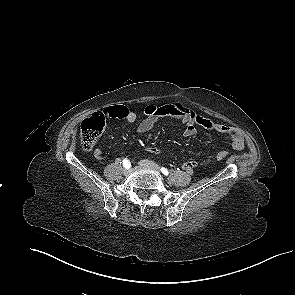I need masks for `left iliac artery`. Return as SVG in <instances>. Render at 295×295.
<instances>
[{
  "label": "left iliac artery",
  "mask_w": 295,
  "mask_h": 295,
  "mask_svg": "<svg viewBox=\"0 0 295 295\" xmlns=\"http://www.w3.org/2000/svg\"><path fill=\"white\" fill-rule=\"evenodd\" d=\"M160 170L166 176L169 174L168 170L166 168H164V167H162Z\"/></svg>",
  "instance_id": "obj_1"
}]
</instances>
